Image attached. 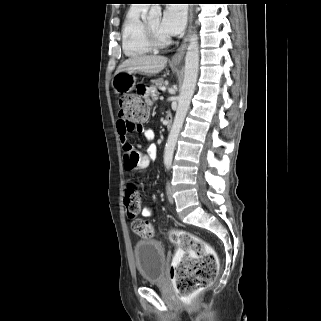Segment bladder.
Listing matches in <instances>:
<instances>
[{"mask_svg":"<svg viewBox=\"0 0 321 321\" xmlns=\"http://www.w3.org/2000/svg\"><path fill=\"white\" fill-rule=\"evenodd\" d=\"M137 271L143 282L152 284L162 281L165 273V250L154 239L139 240L133 247Z\"/></svg>","mask_w":321,"mask_h":321,"instance_id":"31cf9c89","label":"bladder"}]
</instances>
